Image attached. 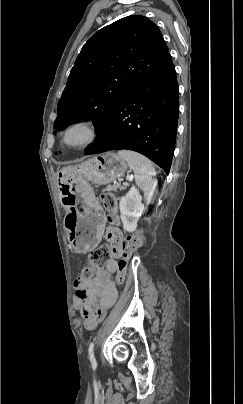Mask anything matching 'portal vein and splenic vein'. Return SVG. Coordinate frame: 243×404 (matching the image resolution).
<instances>
[{"label":"portal vein and splenic vein","mask_w":243,"mask_h":404,"mask_svg":"<svg viewBox=\"0 0 243 404\" xmlns=\"http://www.w3.org/2000/svg\"><path fill=\"white\" fill-rule=\"evenodd\" d=\"M134 181V175L133 174H129L128 175V180L124 182L125 186H130Z\"/></svg>","instance_id":"1"}]
</instances>
